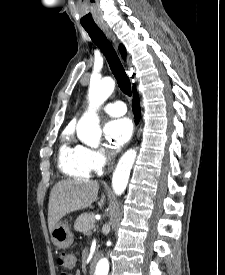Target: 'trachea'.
Listing matches in <instances>:
<instances>
[{
  "label": "trachea",
  "instance_id": "trachea-1",
  "mask_svg": "<svg viewBox=\"0 0 225 275\" xmlns=\"http://www.w3.org/2000/svg\"><path fill=\"white\" fill-rule=\"evenodd\" d=\"M84 29L88 32L90 38L92 41L100 48L104 56L106 57L110 69L112 73L114 74L118 86L121 89V91L131 96V83L129 80V77L127 76L121 61L114 50L113 46L109 42V40L106 38L102 30L95 26V27H84Z\"/></svg>",
  "mask_w": 225,
  "mask_h": 275
}]
</instances>
